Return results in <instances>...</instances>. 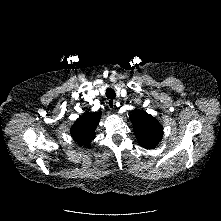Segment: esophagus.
Here are the masks:
<instances>
[{"label": "esophagus", "mask_w": 221, "mask_h": 221, "mask_svg": "<svg viewBox=\"0 0 221 221\" xmlns=\"http://www.w3.org/2000/svg\"><path fill=\"white\" fill-rule=\"evenodd\" d=\"M107 106L109 107V109H113L115 107V100H107Z\"/></svg>", "instance_id": "obj_1"}]
</instances>
